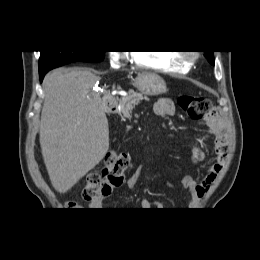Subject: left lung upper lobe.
Segmentation results:
<instances>
[{
	"instance_id": "obj_1",
	"label": "left lung upper lobe",
	"mask_w": 260,
	"mask_h": 260,
	"mask_svg": "<svg viewBox=\"0 0 260 260\" xmlns=\"http://www.w3.org/2000/svg\"><path fill=\"white\" fill-rule=\"evenodd\" d=\"M204 52H205V56L207 57L209 63L211 65H214L213 51H204Z\"/></svg>"
}]
</instances>
